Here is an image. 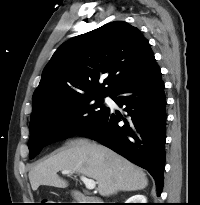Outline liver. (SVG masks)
<instances>
[{
  "instance_id": "6515ba94",
  "label": "liver",
  "mask_w": 200,
  "mask_h": 205,
  "mask_svg": "<svg viewBox=\"0 0 200 205\" xmlns=\"http://www.w3.org/2000/svg\"><path fill=\"white\" fill-rule=\"evenodd\" d=\"M63 170L94 179L101 196H110L118 191L141 190L148 185L143 170L127 159L95 142L76 139L31 168L29 180L32 190L36 191L41 185L66 188L68 183L57 174Z\"/></svg>"
}]
</instances>
